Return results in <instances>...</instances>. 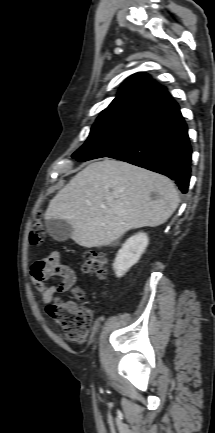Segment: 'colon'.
<instances>
[{"label": "colon", "instance_id": "colon-1", "mask_svg": "<svg viewBox=\"0 0 215 433\" xmlns=\"http://www.w3.org/2000/svg\"><path fill=\"white\" fill-rule=\"evenodd\" d=\"M43 238L44 222L41 213L37 212L30 231V241L33 245H38L43 242ZM106 262V252L90 251L84 254L81 269L84 273H92L103 278L107 274ZM74 293L76 297H82L80 290L76 289ZM47 312L67 339L78 343L86 340L92 318V310L89 307H78L73 302L57 299L48 305Z\"/></svg>", "mask_w": 215, "mask_h": 433}]
</instances>
